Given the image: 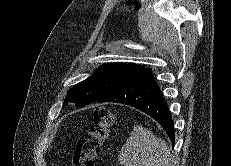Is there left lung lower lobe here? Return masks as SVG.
<instances>
[{
    "mask_svg": "<svg viewBox=\"0 0 231 166\" xmlns=\"http://www.w3.org/2000/svg\"><path fill=\"white\" fill-rule=\"evenodd\" d=\"M96 102L122 103L135 107L155 119L175 142L174 123L160 87L149 68L101 96Z\"/></svg>",
    "mask_w": 231,
    "mask_h": 166,
    "instance_id": "obj_1",
    "label": "left lung lower lobe"
}]
</instances>
